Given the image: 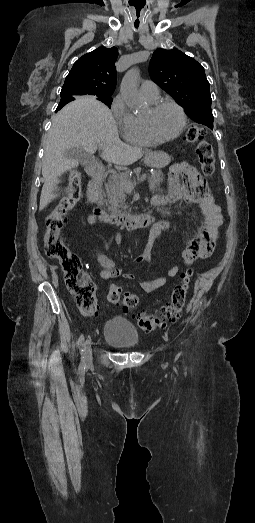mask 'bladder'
<instances>
[{
    "label": "bladder",
    "instance_id": "31cf9c89",
    "mask_svg": "<svg viewBox=\"0 0 255 523\" xmlns=\"http://www.w3.org/2000/svg\"><path fill=\"white\" fill-rule=\"evenodd\" d=\"M104 340L114 346L133 348L139 344V335L126 319L110 318L105 324Z\"/></svg>",
    "mask_w": 255,
    "mask_h": 523
}]
</instances>
